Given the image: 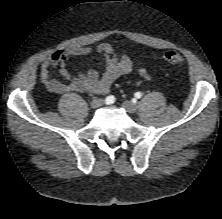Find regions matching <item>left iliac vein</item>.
Masks as SVG:
<instances>
[{
	"mask_svg": "<svg viewBox=\"0 0 222 219\" xmlns=\"http://www.w3.org/2000/svg\"><path fill=\"white\" fill-rule=\"evenodd\" d=\"M122 106L127 112H129L131 114H133L137 111L136 105L130 101H124L122 103Z\"/></svg>",
	"mask_w": 222,
	"mask_h": 219,
	"instance_id": "1",
	"label": "left iliac vein"
}]
</instances>
